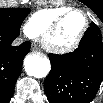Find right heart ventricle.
Listing matches in <instances>:
<instances>
[{"mask_svg":"<svg viewBox=\"0 0 103 103\" xmlns=\"http://www.w3.org/2000/svg\"><path fill=\"white\" fill-rule=\"evenodd\" d=\"M69 7H51L36 11L26 21L24 30L31 38H37L42 35L47 26L60 14L69 10Z\"/></svg>","mask_w":103,"mask_h":103,"instance_id":"1","label":"right heart ventricle"}]
</instances>
